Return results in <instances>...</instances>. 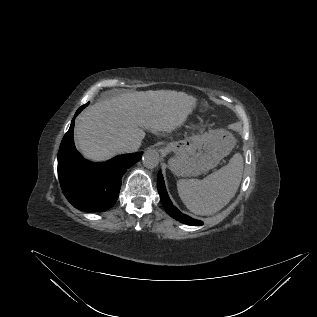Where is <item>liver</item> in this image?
Wrapping results in <instances>:
<instances>
[{
  "label": "liver",
  "instance_id": "obj_1",
  "mask_svg": "<svg viewBox=\"0 0 317 317\" xmlns=\"http://www.w3.org/2000/svg\"><path fill=\"white\" fill-rule=\"evenodd\" d=\"M196 105V98L174 90L128 92L106 98L77 117L75 141L85 158L106 161L121 153V143L140 146L145 129L156 133L179 128Z\"/></svg>",
  "mask_w": 317,
  "mask_h": 317
}]
</instances>
